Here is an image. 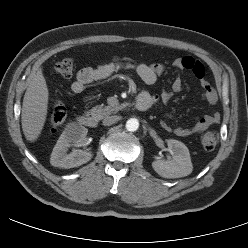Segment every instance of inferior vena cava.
<instances>
[{
    "label": "inferior vena cava",
    "instance_id": "inferior-vena-cava-1",
    "mask_svg": "<svg viewBox=\"0 0 248 248\" xmlns=\"http://www.w3.org/2000/svg\"><path fill=\"white\" fill-rule=\"evenodd\" d=\"M120 116H117V115H112V116H106L104 119H103V125L104 126H109V125H112L114 123H116L118 120H120Z\"/></svg>",
    "mask_w": 248,
    "mask_h": 248
}]
</instances>
